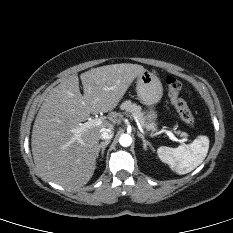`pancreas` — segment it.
I'll return each instance as SVG.
<instances>
[{
  "label": "pancreas",
  "mask_w": 233,
  "mask_h": 233,
  "mask_svg": "<svg viewBox=\"0 0 233 233\" xmlns=\"http://www.w3.org/2000/svg\"><path fill=\"white\" fill-rule=\"evenodd\" d=\"M120 109L125 110L126 113L131 114L142 127L152 131L156 130L154 123H149L146 121L141 106L131 102L130 100H126L120 105Z\"/></svg>",
  "instance_id": "obj_1"
}]
</instances>
